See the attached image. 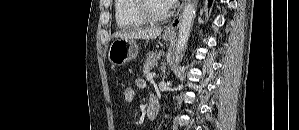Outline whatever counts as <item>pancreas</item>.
<instances>
[{
    "instance_id": "1",
    "label": "pancreas",
    "mask_w": 299,
    "mask_h": 130,
    "mask_svg": "<svg viewBox=\"0 0 299 130\" xmlns=\"http://www.w3.org/2000/svg\"><path fill=\"white\" fill-rule=\"evenodd\" d=\"M160 58H161L160 52H156V51L149 52L147 54L146 62L143 66L144 74H148V72L157 65L158 60Z\"/></svg>"
}]
</instances>
